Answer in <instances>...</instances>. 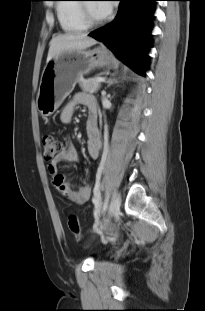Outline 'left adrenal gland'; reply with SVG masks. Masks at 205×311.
<instances>
[{
  "label": "left adrenal gland",
  "mask_w": 205,
  "mask_h": 311,
  "mask_svg": "<svg viewBox=\"0 0 205 311\" xmlns=\"http://www.w3.org/2000/svg\"><path fill=\"white\" fill-rule=\"evenodd\" d=\"M117 80L114 79V78H110L108 81H107V88L110 87L114 82H116Z\"/></svg>",
  "instance_id": "1"
}]
</instances>
